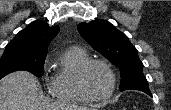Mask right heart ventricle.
<instances>
[{
  "label": "right heart ventricle",
  "mask_w": 171,
  "mask_h": 110,
  "mask_svg": "<svg viewBox=\"0 0 171 110\" xmlns=\"http://www.w3.org/2000/svg\"><path fill=\"white\" fill-rule=\"evenodd\" d=\"M89 60L88 52L78 46H72L60 55L57 70L49 83L50 92L56 100L70 103L90 101L80 92L77 84L78 73Z\"/></svg>",
  "instance_id": "right-heart-ventricle-1"
}]
</instances>
